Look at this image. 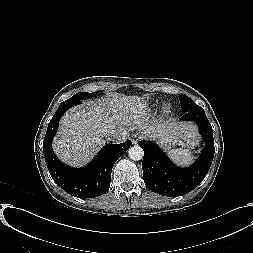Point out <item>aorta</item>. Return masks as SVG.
<instances>
[{"mask_svg": "<svg viewBox=\"0 0 253 253\" xmlns=\"http://www.w3.org/2000/svg\"><path fill=\"white\" fill-rule=\"evenodd\" d=\"M128 155H129L130 159H132L134 161H138L143 158L144 151L140 146L134 145L129 148Z\"/></svg>", "mask_w": 253, "mask_h": 253, "instance_id": "obj_1", "label": "aorta"}]
</instances>
